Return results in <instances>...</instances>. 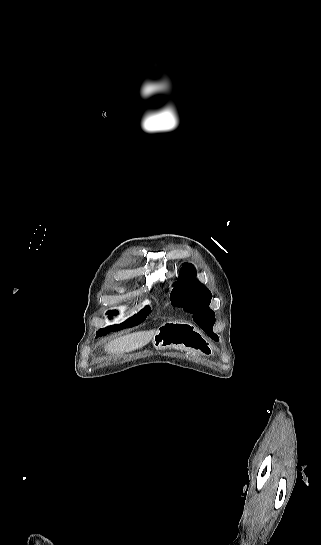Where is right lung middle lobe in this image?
<instances>
[{"label": "right lung middle lobe", "instance_id": "obj_1", "mask_svg": "<svg viewBox=\"0 0 321 545\" xmlns=\"http://www.w3.org/2000/svg\"><path fill=\"white\" fill-rule=\"evenodd\" d=\"M150 311L151 310H150L149 306H146L137 315H135L132 318L128 319L126 322H124V323H122L120 325H113V326L107 327V328L102 329V330H108V332H109V331L120 330V329H123V328H126V327H132V326L137 325V324L141 323L142 321H144L146 316L149 315ZM108 314H111V313H108Z\"/></svg>", "mask_w": 321, "mask_h": 545}]
</instances>
